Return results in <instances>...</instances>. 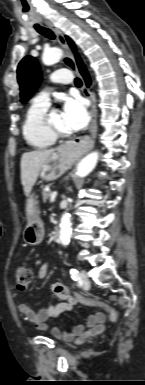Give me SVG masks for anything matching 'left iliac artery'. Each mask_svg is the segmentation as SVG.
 I'll use <instances>...</instances> for the list:
<instances>
[{"mask_svg": "<svg viewBox=\"0 0 145 385\" xmlns=\"http://www.w3.org/2000/svg\"><path fill=\"white\" fill-rule=\"evenodd\" d=\"M70 274H71V277H72L73 280H75V281H79L80 280L79 272L76 269L72 268L70 270Z\"/></svg>", "mask_w": 145, "mask_h": 385, "instance_id": "44dca946", "label": "left iliac artery"}]
</instances>
